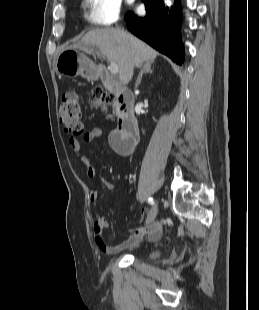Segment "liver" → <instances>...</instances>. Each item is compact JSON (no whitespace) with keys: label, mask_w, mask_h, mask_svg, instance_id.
<instances>
[{"label":"liver","mask_w":259,"mask_h":310,"mask_svg":"<svg viewBox=\"0 0 259 310\" xmlns=\"http://www.w3.org/2000/svg\"><path fill=\"white\" fill-rule=\"evenodd\" d=\"M93 47L99 48L108 60L118 65L119 80L123 85L132 79L136 64L153 62L158 54L140 39L116 28L93 29L72 46L90 51Z\"/></svg>","instance_id":"6515ba94"}]
</instances>
